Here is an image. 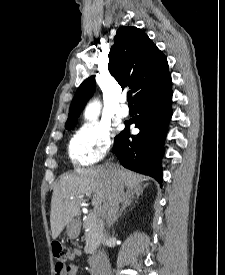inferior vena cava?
Masks as SVG:
<instances>
[{
  "mask_svg": "<svg viewBox=\"0 0 225 275\" xmlns=\"http://www.w3.org/2000/svg\"><path fill=\"white\" fill-rule=\"evenodd\" d=\"M125 198L124 194V186L120 176L117 172H114V176L111 183L110 192L108 194V199L105 204V211H106V223L107 226L110 228L113 223L117 219L119 204ZM106 237H104L103 243L106 241ZM96 275H111V265L108 260L107 256H104L101 263L99 264Z\"/></svg>",
  "mask_w": 225,
  "mask_h": 275,
  "instance_id": "obj_1",
  "label": "inferior vena cava"
}]
</instances>
